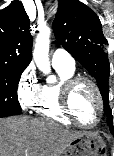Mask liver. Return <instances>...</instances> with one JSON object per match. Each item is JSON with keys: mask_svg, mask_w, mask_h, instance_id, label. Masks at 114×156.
<instances>
[{"mask_svg": "<svg viewBox=\"0 0 114 156\" xmlns=\"http://www.w3.org/2000/svg\"><path fill=\"white\" fill-rule=\"evenodd\" d=\"M81 135L48 120L26 116L0 119V156H61Z\"/></svg>", "mask_w": 114, "mask_h": 156, "instance_id": "liver-1", "label": "liver"}]
</instances>
